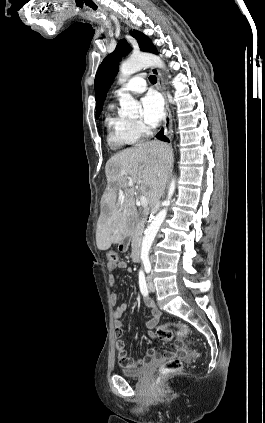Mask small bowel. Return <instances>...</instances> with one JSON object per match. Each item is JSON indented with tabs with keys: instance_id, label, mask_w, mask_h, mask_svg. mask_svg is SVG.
I'll return each mask as SVG.
<instances>
[{
	"instance_id": "obj_1",
	"label": "small bowel",
	"mask_w": 265,
	"mask_h": 423,
	"mask_svg": "<svg viewBox=\"0 0 265 423\" xmlns=\"http://www.w3.org/2000/svg\"><path fill=\"white\" fill-rule=\"evenodd\" d=\"M116 269H125L128 272L132 271V267H130L125 261L118 260L114 264L108 263L107 264V271L109 273L108 281H109V284H110L111 287H114V283H115L112 272ZM117 301H118L117 293H112L110 295V303L115 305L117 303ZM144 303L149 308V310L151 312V317L147 321L146 326L149 330V336L151 338H153L154 337L153 329L158 324L161 313L151 299L144 298ZM127 308H128V304L122 303V304L118 305L115 308V310L113 311L114 329H115V335L117 337L116 348H117V351H118V354H119V361H120L121 364H128L129 367H141V366L146 364L147 360L155 359L156 353H155L154 349H149L145 352L144 359H140V360H133V359H131L130 357L127 356L125 343L121 339L123 330L125 328V325H124L122 318H123ZM178 351H182V350L179 348Z\"/></svg>"
}]
</instances>
